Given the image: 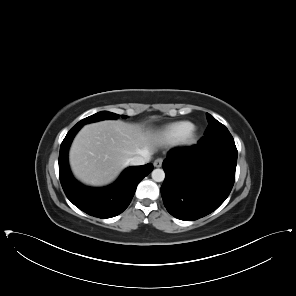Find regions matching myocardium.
Listing matches in <instances>:
<instances>
[{"instance_id":"obj_1","label":"myocardium","mask_w":296,"mask_h":296,"mask_svg":"<svg viewBox=\"0 0 296 296\" xmlns=\"http://www.w3.org/2000/svg\"><path fill=\"white\" fill-rule=\"evenodd\" d=\"M197 134L194 129L190 130L183 139L184 144H192L195 142Z\"/></svg>"}]
</instances>
